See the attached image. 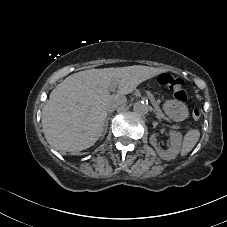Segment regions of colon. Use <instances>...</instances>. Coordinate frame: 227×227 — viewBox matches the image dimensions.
<instances>
[{"instance_id":"1","label":"colon","mask_w":227,"mask_h":227,"mask_svg":"<svg viewBox=\"0 0 227 227\" xmlns=\"http://www.w3.org/2000/svg\"><path fill=\"white\" fill-rule=\"evenodd\" d=\"M158 81L161 86L171 92L176 100L185 101L187 99L188 92L181 77L169 73H162L159 76ZM201 116L202 112L199 108H194L192 110V117L194 120H199Z\"/></svg>"}]
</instances>
